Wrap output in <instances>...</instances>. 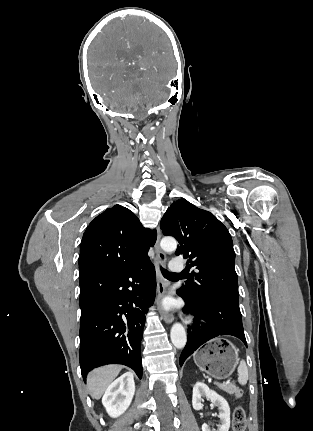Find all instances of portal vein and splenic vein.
Masks as SVG:
<instances>
[{"label": "portal vein and splenic vein", "instance_id": "1", "mask_svg": "<svg viewBox=\"0 0 313 431\" xmlns=\"http://www.w3.org/2000/svg\"><path fill=\"white\" fill-rule=\"evenodd\" d=\"M224 384H228V381H227V382H225Z\"/></svg>", "mask_w": 313, "mask_h": 431}]
</instances>
